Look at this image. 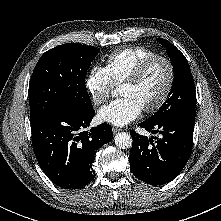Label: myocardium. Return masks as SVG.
<instances>
[{"instance_id": "myocardium-1", "label": "myocardium", "mask_w": 221, "mask_h": 221, "mask_svg": "<svg viewBox=\"0 0 221 221\" xmlns=\"http://www.w3.org/2000/svg\"><path fill=\"white\" fill-rule=\"evenodd\" d=\"M157 61L163 62L167 68H168V82L166 85V88L161 95V97L158 99V101L153 104L152 106H148L143 108V111L146 113H155L158 110H160L164 104L169 99L173 85L175 82V67L172 63V61L165 56L156 55L153 57H150L146 59L144 62H142L135 70L134 72L125 80L123 81L122 85H134L138 83L146 74L147 70L150 68L152 64H154Z\"/></svg>"}]
</instances>
